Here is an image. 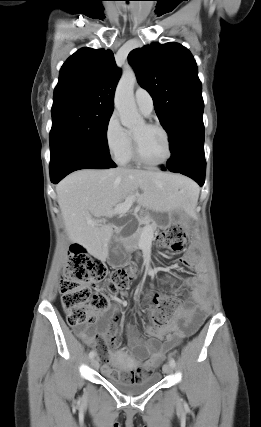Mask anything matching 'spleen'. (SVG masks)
<instances>
[{
	"mask_svg": "<svg viewBox=\"0 0 261 427\" xmlns=\"http://www.w3.org/2000/svg\"><path fill=\"white\" fill-rule=\"evenodd\" d=\"M189 193L191 195L192 200L196 202L199 196V189L196 187L194 190H190Z\"/></svg>",
	"mask_w": 261,
	"mask_h": 427,
	"instance_id": "obj_1",
	"label": "spleen"
}]
</instances>
